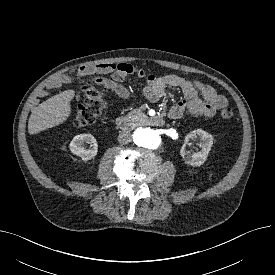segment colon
Wrapping results in <instances>:
<instances>
[{
	"label": "colon",
	"mask_w": 275,
	"mask_h": 275,
	"mask_svg": "<svg viewBox=\"0 0 275 275\" xmlns=\"http://www.w3.org/2000/svg\"><path fill=\"white\" fill-rule=\"evenodd\" d=\"M116 67L120 71L123 70L122 64H117ZM98 85V81L92 80H86L81 83L85 97L74 116L73 125L75 127H85L93 124L106 109L107 103ZM220 117L225 121L230 120L233 117L232 109L229 107L221 109Z\"/></svg>",
	"instance_id": "1"
}]
</instances>
